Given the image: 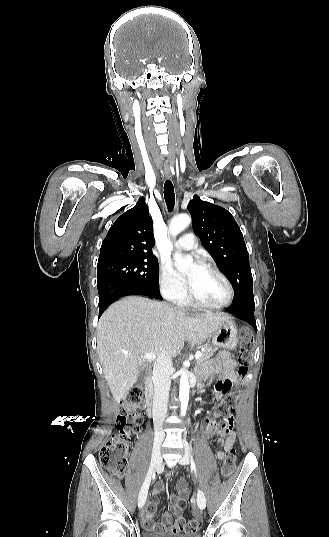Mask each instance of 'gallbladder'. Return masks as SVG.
Segmentation results:
<instances>
[{"mask_svg":"<svg viewBox=\"0 0 329 537\" xmlns=\"http://www.w3.org/2000/svg\"><path fill=\"white\" fill-rule=\"evenodd\" d=\"M145 376H146L145 370H141V372L138 375V379H137V385L139 387H141V388L144 385Z\"/></svg>","mask_w":329,"mask_h":537,"instance_id":"1","label":"gallbladder"}]
</instances>
